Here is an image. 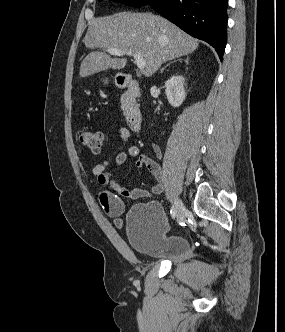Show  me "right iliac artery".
I'll return each instance as SVG.
<instances>
[{"label": "right iliac artery", "mask_w": 285, "mask_h": 332, "mask_svg": "<svg viewBox=\"0 0 285 332\" xmlns=\"http://www.w3.org/2000/svg\"><path fill=\"white\" fill-rule=\"evenodd\" d=\"M170 213H171L172 218L174 219L176 216V209L174 206L171 207Z\"/></svg>", "instance_id": "right-iliac-artery-1"}]
</instances>
